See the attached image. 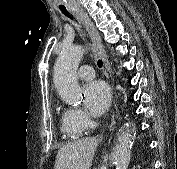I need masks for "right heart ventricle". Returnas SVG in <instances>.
I'll use <instances>...</instances> for the list:
<instances>
[{
    "label": "right heart ventricle",
    "instance_id": "e07e8e85",
    "mask_svg": "<svg viewBox=\"0 0 177 169\" xmlns=\"http://www.w3.org/2000/svg\"><path fill=\"white\" fill-rule=\"evenodd\" d=\"M61 123H62V130L67 135V138L75 139V138H79L81 136L80 133L73 132L72 126L69 123L68 118H67V111H65L62 114Z\"/></svg>",
    "mask_w": 177,
    "mask_h": 169
}]
</instances>
